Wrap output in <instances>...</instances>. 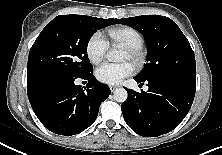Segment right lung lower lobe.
I'll list each match as a JSON object with an SVG mask.
<instances>
[{"label": "right lung lower lobe", "mask_w": 222, "mask_h": 155, "mask_svg": "<svg viewBox=\"0 0 222 155\" xmlns=\"http://www.w3.org/2000/svg\"><path fill=\"white\" fill-rule=\"evenodd\" d=\"M92 72L79 77L87 80L84 87L76 85V78H71L28 96L34 113L48 130L60 135H74L96 120L100 104L111 91L97 81Z\"/></svg>", "instance_id": "1"}]
</instances>
